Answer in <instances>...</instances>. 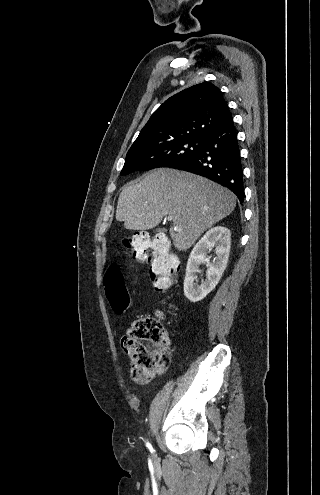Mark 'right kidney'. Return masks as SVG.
Wrapping results in <instances>:
<instances>
[{
  "mask_svg": "<svg viewBox=\"0 0 320 495\" xmlns=\"http://www.w3.org/2000/svg\"><path fill=\"white\" fill-rule=\"evenodd\" d=\"M231 233L229 229L217 226L211 228L197 242L188 258L184 279V294L191 302H198L208 295L221 279L229 259ZM215 253V261L210 262L207 254ZM206 263V278L199 285L195 282L201 264Z\"/></svg>",
  "mask_w": 320,
  "mask_h": 495,
  "instance_id": "right-kidney-1",
  "label": "right kidney"
}]
</instances>
